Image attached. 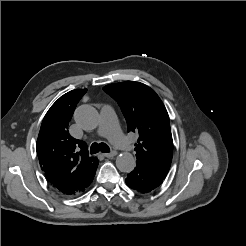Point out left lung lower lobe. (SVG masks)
<instances>
[{
  "label": "left lung lower lobe",
  "instance_id": "1",
  "mask_svg": "<svg viewBox=\"0 0 246 246\" xmlns=\"http://www.w3.org/2000/svg\"><path fill=\"white\" fill-rule=\"evenodd\" d=\"M163 179L162 176L149 168L137 164L134 170L127 175L125 181L131 189L146 194L158 188L162 184Z\"/></svg>",
  "mask_w": 246,
  "mask_h": 246
}]
</instances>
